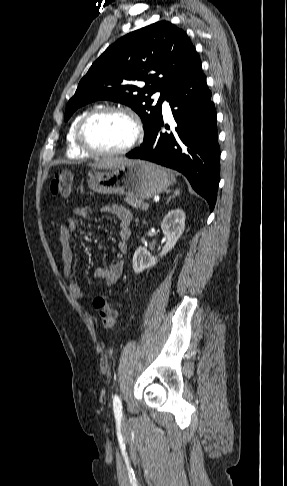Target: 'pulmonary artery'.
<instances>
[{
	"mask_svg": "<svg viewBox=\"0 0 287 486\" xmlns=\"http://www.w3.org/2000/svg\"><path fill=\"white\" fill-rule=\"evenodd\" d=\"M155 96H156V97H158V96H159V93H157ZM163 111H164V113H165L167 116H169V115H170V107H169V103H168L167 101H164V102H163Z\"/></svg>",
	"mask_w": 287,
	"mask_h": 486,
	"instance_id": "obj_1",
	"label": "pulmonary artery"
}]
</instances>
